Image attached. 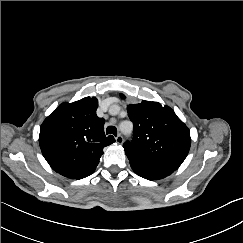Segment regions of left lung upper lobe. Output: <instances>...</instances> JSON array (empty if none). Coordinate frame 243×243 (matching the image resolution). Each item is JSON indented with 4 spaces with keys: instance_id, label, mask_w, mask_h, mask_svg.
<instances>
[{
    "instance_id": "5c2ea615",
    "label": "left lung upper lobe",
    "mask_w": 243,
    "mask_h": 243,
    "mask_svg": "<svg viewBox=\"0 0 243 243\" xmlns=\"http://www.w3.org/2000/svg\"><path fill=\"white\" fill-rule=\"evenodd\" d=\"M121 98H125L121 94ZM133 122L132 140L123 147L126 154L180 166L191 145L189 129L168 106L142 101L127 107Z\"/></svg>"
}]
</instances>
